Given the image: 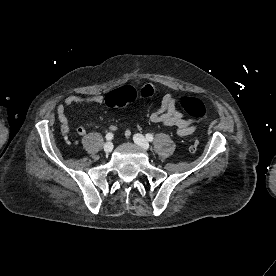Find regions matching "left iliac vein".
I'll return each instance as SVG.
<instances>
[{
  "mask_svg": "<svg viewBox=\"0 0 276 276\" xmlns=\"http://www.w3.org/2000/svg\"><path fill=\"white\" fill-rule=\"evenodd\" d=\"M134 141H135L136 144L141 146L143 149H145V150L149 149V143L143 135L135 134L134 135Z\"/></svg>",
  "mask_w": 276,
  "mask_h": 276,
  "instance_id": "obj_1",
  "label": "left iliac vein"
}]
</instances>
